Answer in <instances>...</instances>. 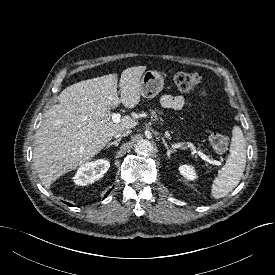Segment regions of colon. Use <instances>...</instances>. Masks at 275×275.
<instances>
[{
    "label": "colon",
    "mask_w": 275,
    "mask_h": 275,
    "mask_svg": "<svg viewBox=\"0 0 275 275\" xmlns=\"http://www.w3.org/2000/svg\"><path fill=\"white\" fill-rule=\"evenodd\" d=\"M174 83L183 92H191L200 88L201 94L207 96V89L201 87L202 79L198 73L178 72L174 75ZM209 142L217 153H224L228 148V139L221 133H212Z\"/></svg>",
    "instance_id": "colon-1"
}]
</instances>
